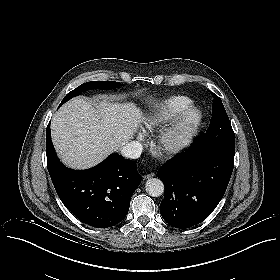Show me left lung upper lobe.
<instances>
[{
  "mask_svg": "<svg viewBox=\"0 0 280 280\" xmlns=\"http://www.w3.org/2000/svg\"><path fill=\"white\" fill-rule=\"evenodd\" d=\"M212 118L206 134L196 138L191 148H216L235 152V135L222 100L213 93Z\"/></svg>",
  "mask_w": 280,
  "mask_h": 280,
  "instance_id": "5c2ea615",
  "label": "left lung upper lobe"
}]
</instances>
